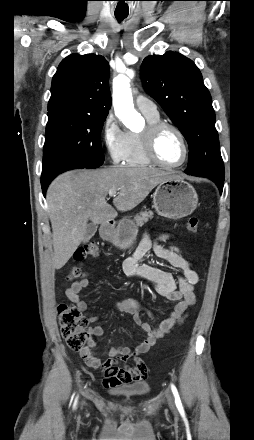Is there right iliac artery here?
Here are the masks:
<instances>
[{
  "label": "right iliac artery",
  "mask_w": 254,
  "mask_h": 440,
  "mask_svg": "<svg viewBox=\"0 0 254 440\" xmlns=\"http://www.w3.org/2000/svg\"><path fill=\"white\" fill-rule=\"evenodd\" d=\"M76 402H77V398L75 399L74 406L76 405Z\"/></svg>",
  "instance_id": "obj_1"
}]
</instances>
